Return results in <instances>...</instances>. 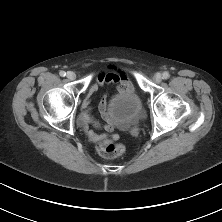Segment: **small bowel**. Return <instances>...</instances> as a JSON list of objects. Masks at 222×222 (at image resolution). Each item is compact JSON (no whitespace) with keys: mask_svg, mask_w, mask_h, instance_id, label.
Listing matches in <instances>:
<instances>
[{"mask_svg":"<svg viewBox=\"0 0 222 222\" xmlns=\"http://www.w3.org/2000/svg\"><path fill=\"white\" fill-rule=\"evenodd\" d=\"M104 84H115L118 87V91L121 94L126 92L134 91V87L129 80L126 73L120 70H112L110 72L100 71L97 75V84H95L89 96L83 103V114H82V122L88 126L91 125L97 129H102L107 133H110V136L107 135H98L93 131H88V135L92 142H109L111 140H116L118 136L116 134H112L115 129L116 125L113 120L109 116L108 112V98L104 95L99 103V110L104 119V123L100 122L96 119L92 114V107H91V96L98 90V88Z\"/></svg>","mask_w":222,"mask_h":222,"instance_id":"small-bowel-1","label":"small bowel"}]
</instances>
